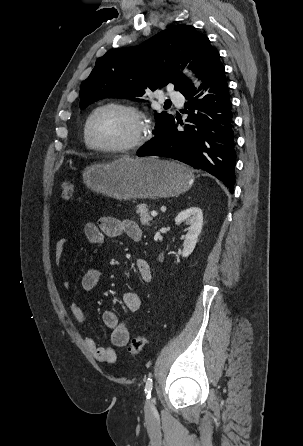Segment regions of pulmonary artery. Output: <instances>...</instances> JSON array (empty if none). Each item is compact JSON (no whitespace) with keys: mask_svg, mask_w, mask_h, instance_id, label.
Segmentation results:
<instances>
[{"mask_svg":"<svg viewBox=\"0 0 303 446\" xmlns=\"http://www.w3.org/2000/svg\"><path fill=\"white\" fill-rule=\"evenodd\" d=\"M168 96L171 100H173L175 103H177L178 105H182L184 102V97L183 95L175 90H170L168 93Z\"/></svg>","mask_w":303,"mask_h":446,"instance_id":"obj_1","label":"pulmonary artery"}]
</instances>
